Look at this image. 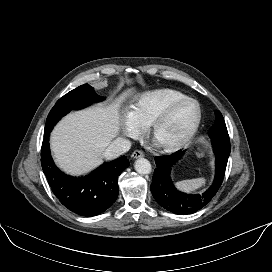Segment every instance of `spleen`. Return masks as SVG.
<instances>
[{"mask_svg":"<svg viewBox=\"0 0 272 272\" xmlns=\"http://www.w3.org/2000/svg\"><path fill=\"white\" fill-rule=\"evenodd\" d=\"M205 178H196L190 180H183L176 183L177 188L184 192H191L205 184Z\"/></svg>","mask_w":272,"mask_h":272,"instance_id":"obj_1","label":"spleen"}]
</instances>
